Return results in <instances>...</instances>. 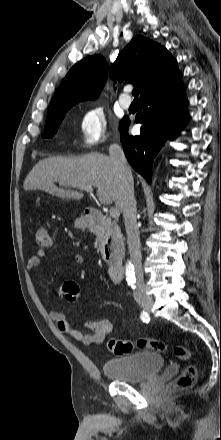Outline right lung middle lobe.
Returning <instances> with one entry per match:
<instances>
[{"mask_svg":"<svg viewBox=\"0 0 221 440\" xmlns=\"http://www.w3.org/2000/svg\"><path fill=\"white\" fill-rule=\"evenodd\" d=\"M72 107L66 106L62 108H56L52 110H48L47 112V120L45 124V129L43 133V138H51L55 135L58 130L59 125L61 124L66 112Z\"/></svg>","mask_w":221,"mask_h":440,"instance_id":"obj_1","label":"right lung middle lobe"}]
</instances>
